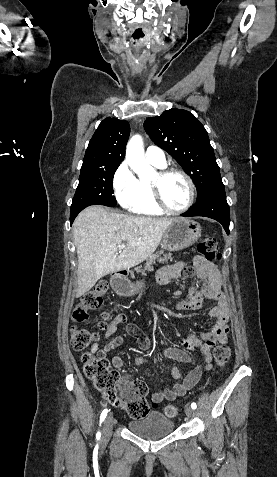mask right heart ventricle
<instances>
[{"label": "right heart ventricle", "instance_id": "right-heart-ventricle-1", "mask_svg": "<svg viewBox=\"0 0 277 477\" xmlns=\"http://www.w3.org/2000/svg\"><path fill=\"white\" fill-rule=\"evenodd\" d=\"M154 166L161 168L156 165ZM128 209L133 213L143 216H158L163 213L155 204L149 180H138L136 198Z\"/></svg>", "mask_w": 277, "mask_h": 477}]
</instances>
